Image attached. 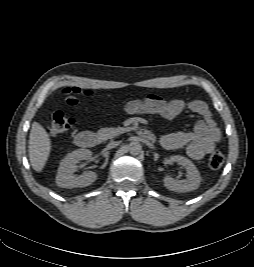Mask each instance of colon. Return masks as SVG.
Segmentation results:
<instances>
[{
    "label": "colon",
    "instance_id": "colon-1",
    "mask_svg": "<svg viewBox=\"0 0 254 267\" xmlns=\"http://www.w3.org/2000/svg\"><path fill=\"white\" fill-rule=\"evenodd\" d=\"M89 91L82 92L78 88H66L64 90L65 101L70 106L78 104L81 95L89 96ZM74 125V119L66 116L63 112L57 111L52 115L51 123L48 127V133L51 136H59ZM224 163V156L220 151L213 152L208 159V164L212 169H219Z\"/></svg>",
    "mask_w": 254,
    "mask_h": 267
}]
</instances>
